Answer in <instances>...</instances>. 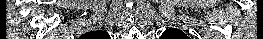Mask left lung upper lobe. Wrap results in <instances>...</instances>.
Wrapping results in <instances>:
<instances>
[{"mask_svg": "<svg viewBox=\"0 0 263 39\" xmlns=\"http://www.w3.org/2000/svg\"><path fill=\"white\" fill-rule=\"evenodd\" d=\"M161 39H190V38L179 29L169 28L164 31Z\"/></svg>", "mask_w": 263, "mask_h": 39, "instance_id": "left-lung-upper-lobe-1", "label": "left lung upper lobe"}]
</instances>
